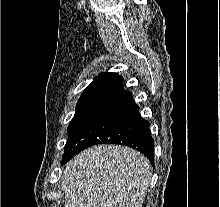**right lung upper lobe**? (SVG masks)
I'll return each mask as SVG.
<instances>
[{"instance_id": "1", "label": "right lung upper lobe", "mask_w": 220, "mask_h": 207, "mask_svg": "<svg viewBox=\"0 0 220 207\" xmlns=\"http://www.w3.org/2000/svg\"><path fill=\"white\" fill-rule=\"evenodd\" d=\"M115 75H117V74L116 73H109V72L101 73L99 76H96L93 79V81L90 85L103 84L106 80L114 77Z\"/></svg>"}]
</instances>
